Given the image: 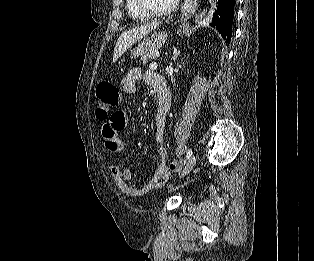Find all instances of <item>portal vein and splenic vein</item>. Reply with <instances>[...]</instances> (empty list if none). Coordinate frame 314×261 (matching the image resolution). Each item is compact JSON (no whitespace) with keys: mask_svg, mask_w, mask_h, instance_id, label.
I'll return each instance as SVG.
<instances>
[{"mask_svg":"<svg viewBox=\"0 0 314 261\" xmlns=\"http://www.w3.org/2000/svg\"><path fill=\"white\" fill-rule=\"evenodd\" d=\"M149 68H150L151 70L157 69V63H156V62L151 63V64L149 65Z\"/></svg>","mask_w":314,"mask_h":261,"instance_id":"portal-vein-and-splenic-vein-1","label":"portal vein and splenic vein"}]
</instances>
